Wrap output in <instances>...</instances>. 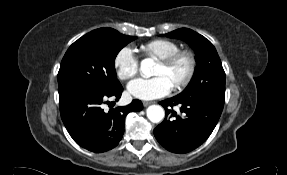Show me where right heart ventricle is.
<instances>
[{"label":"right heart ventricle","instance_id":"right-heart-ventricle-1","mask_svg":"<svg viewBox=\"0 0 287 175\" xmlns=\"http://www.w3.org/2000/svg\"><path fill=\"white\" fill-rule=\"evenodd\" d=\"M144 54L153 59L166 57L181 49L180 44L169 39H154L140 46Z\"/></svg>","mask_w":287,"mask_h":175}]
</instances>
